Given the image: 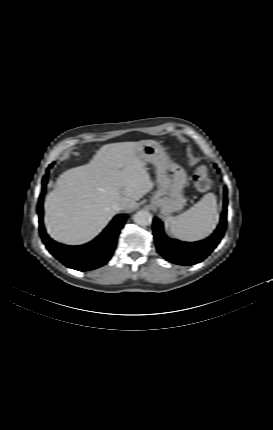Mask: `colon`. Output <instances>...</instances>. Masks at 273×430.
I'll use <instances>...</instances> for the list:
<instances>
[{
	"instance_id": "obj_1",
	"label": "colon",
	"mask_w": 273,
	"mask_h": 430,
	"mask_svg": "<svg viewBox=\"0 0 273 430\" xmlns=\"http://www.w3.org/2000/svg\"><path fill=\"white\" fill-rule=\"evenodd\" d=\"M193 181L196 188L200 192H208L212 187L211 179L209 178L208 170L205 167L197 169L193 176Z\"/></svg>"
}]
</instances>
